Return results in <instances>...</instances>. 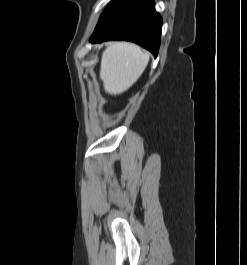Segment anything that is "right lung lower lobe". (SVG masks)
Masks as SVG:
<instances>
[{"label":"right lung lower lobe","mask_w":247,"mask_h":265,"mask_svg":"<svg viewBox=\"0 0 247 265\" xmlns=\"http://www.w3.org/2000/svg\"><path fill=\"white\" fill-rule=\"evenodd\" d=\"M162 18L152 0H113L101 15L90 41L127 40L148 49L156 57Z\"/></svg>","instance_id":"obj_1"}]
</instances>
